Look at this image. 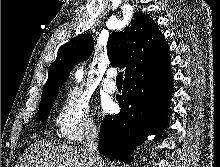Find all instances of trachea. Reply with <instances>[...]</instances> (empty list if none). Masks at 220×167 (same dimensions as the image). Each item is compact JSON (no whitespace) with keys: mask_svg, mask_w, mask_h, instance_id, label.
Returning a JSON list of instances; mask_svg holds the SVG:
<instances>
[{"mask_svg":"<svg viewBox=\"0 0 220 167\" xmlns=\"http://www.w3.org/2000/svg\"><path fill=\"white\" fill-rule=\"evenodd\" d=\"M116 81L117 83L123 82V72L118 73V75L116 76Z\"/></svg>","mask_w":220,"mask_h":167,"instance_id":"1","label":"trachea"}]
</instances>
